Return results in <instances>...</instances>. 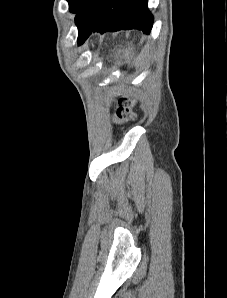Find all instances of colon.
Here are the masks:
<instances>
[{"label": "colon", "instance_id": "5ec220e1", "mask_svg": "<svg viewBox=\"0 0 227 298\" xmlns=\"http://www.w3.org/2000/svg\"><path fill=\"white\" fill-rule=\"evenodd\" d=\"M135 104L134 99L121 97L114 115L115 122L123 124L136 120V113L134 111Z\"/></svg>", "mask_w": 227, "mask_h": 298}]
</instances>
